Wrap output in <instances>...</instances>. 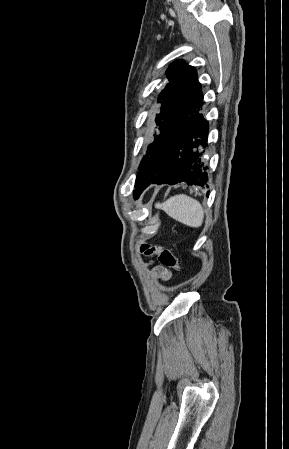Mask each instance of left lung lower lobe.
<instances>
[{"instance_id":"1","label":"left lung lower lobe","mask_w":289,"mask_h":449,"mask_svg":"<svg viewBox=\"0 0 289 449\" xmlns=\"http://www.w3.org/2000/svg\"><path fill=\"white\" fill-rule=\"evenodd\" d=\"M199 107L191 118L176 132L170 135L165 144V158L159 173L142 182L134 192L136 198L151 183L204 186L208 182L207 167L201 160L199 148L207 145L208 123L199 113ZM208 196V194H207Z\"/></svg>"}]
</instances>
